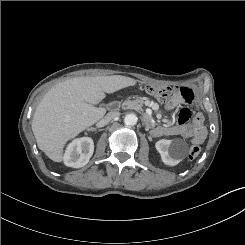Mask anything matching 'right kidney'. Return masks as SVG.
Wrapping results in <instances>:
<instances>
[{
	"mask_svg": "<svg viewBox=\"0 0 245 245\" xmlns=\"http://www.w3.org/2000/svg\"><path fill=\"white\" fill-rule=\"evenodd\" d=\"M94 152V142L90 137L74 139L63 157L64 164L73 168L85 166Z\"/></svg>",
	"mask_w": 245,
	"mask_h": 245,
	"instance_id": "right-kidney-1",
	"label": "right kidney"
}]
</instances>
